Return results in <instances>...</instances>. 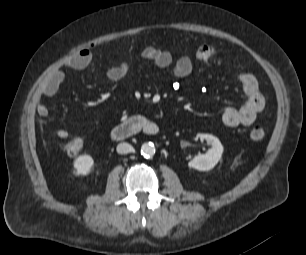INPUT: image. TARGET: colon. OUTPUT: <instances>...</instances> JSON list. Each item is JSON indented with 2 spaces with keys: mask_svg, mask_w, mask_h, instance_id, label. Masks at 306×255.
<instances>
[{
  "mask_svg": "<svg viewBox=\"0 0 306 255\" xmlns=\"http://www.w3.org/2000/svg\"><path fill=\"white\" fill-rule=\"evenodd\" d=\"M251 139L255 141L262 140L265 137V130L261 126H254L250 131ZM83 148V141L75 138L65 145V151L69 156H76Z\"/></svg>",
  "mask_w": 306,
  "mask_h": 255,
  "instance_id": "1",
  "label": "colon"
}]
</instances>
